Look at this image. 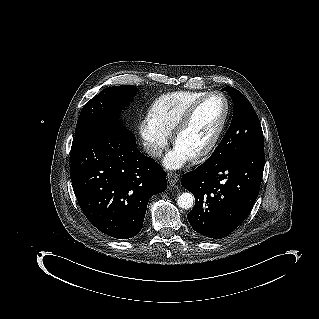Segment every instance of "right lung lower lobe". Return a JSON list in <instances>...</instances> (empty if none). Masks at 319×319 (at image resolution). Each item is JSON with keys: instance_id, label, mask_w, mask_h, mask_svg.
<instances>
[{"instance_id": "1", "label": "right lung lower lobe", "mask_w": 319, "mask_h": 319, "mask_svg": "<svg viewBox=\"0 0 319 319\" xmlns=\"http://www.w3.org/2000/svg\"><path fill=\"white\" fill-rule=\"evenodd\" d=\"M70 173L87 219L116 239L140 232L150 197L167 187L165 171L138 150L135 136L123 126L75 136Z\"/></svg>"}]
</instances>
